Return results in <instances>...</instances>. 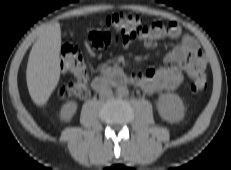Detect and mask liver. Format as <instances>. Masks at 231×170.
Returning <instances> with one entry per match:
<instances>
[{
    "mask_svg": "<svg viewBox=\"0 0 231 170\" xmlns=\"http://www.w3.org/2000/svg\"><path fill=\"white\" fill-rule=\"evenodd\" d=\"M60 24H50L38 37L29 54L26 80L31 99L44 105L60 79Z\"/></svg>",
    "mask_w": 231,
    "mask_h": 170,
    "instance_id": "liver-1",
    "label": "liver"
}]
</instances>
